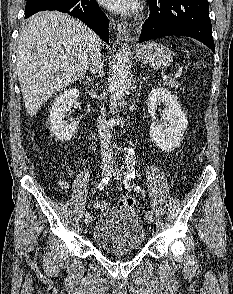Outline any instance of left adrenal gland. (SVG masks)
Instances as JSON below:
<instances>
[{"label": "left adrenal gland", "mask_w": 233, "mask_h": 294, "mask_svg": "<svg viewBox=\"0 0 233 294\" xmlns=\"http://www.w3.org/2000/svg\"><path fill=\"white\" fill-rule=\"evenodd\" d=\"M143 79L145 80V79H147V77L144 76Z\"/></svg>", "instance_id": "1"}]
</instances>
